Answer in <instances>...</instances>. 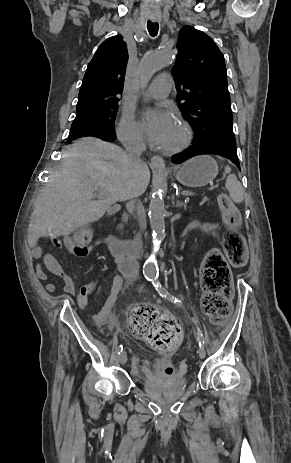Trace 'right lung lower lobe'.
Here are the masks:
<instances>
[{"label": "right lung lower lobe", "mask_w": 291, "mask_h": 463, "mask_svg": "<svg viewBox=\"0 0 291 463\" xmlns=\"http://www.w3.org/2000/svg\"><path fill=\"white\" fill-rule=\"evenodd\" d=\"M97 138H100L105 141H113L116 139V135H108V136L102 135V136H97Z\"/></svg>", "instance_id": "right-lung-lower-lobe-1"}]
</instances>
